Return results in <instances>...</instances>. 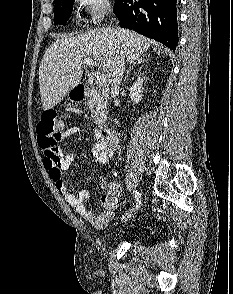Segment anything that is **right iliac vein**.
Instances as JSON below:
<instances>
[{
	"label": "right iliac vein",
	"instance_id": "1",
	"mask_svg": "<svg viewBox=\"0 0 233 294\" xmlns=\"http://www.w3.org/2000/svg\"><path fill=\"white\" fill-rule=\"evenodd\" d=\"M135 214V211H131V212H127L125 214V216L123 217L122 221L123 222H126L128 221L129 219H131V217Z\"/></svg>",
	"mask_w": 233,
	"mask_h": 294
}]
</instances>
